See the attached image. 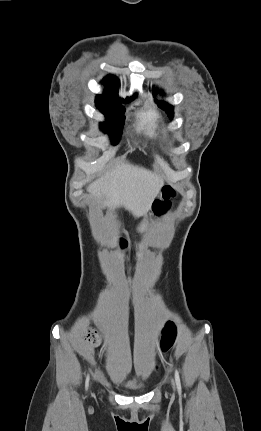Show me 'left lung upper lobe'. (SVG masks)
<instances>
[{"mask_svg": "<svg viewBox=\"0 0 261 431\" xmlns=\"http://www.w3.org/2000/svg\"><path fill=\"white\" fill-rule=\"evenodd\" d=\"M153 93L156 94L157 93V89L153 88ZM158 105L160 108H162L163 110L166 111V113H168L169 117L172 118L173 117V107L168 105L165 102H158Z\"/></svg>", "mask_w": 261, "mask_h": 431, "instance_id": "obj_1", "label": "left lung upper lobe"}]
</instances>
